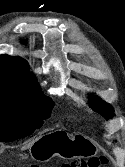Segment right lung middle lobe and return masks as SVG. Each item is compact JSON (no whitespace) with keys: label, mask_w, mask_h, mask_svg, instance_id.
Instances as JSON below:
<instances>
[{"label":"right lung middle lobe","mask_w":125,"mask_h":167,"mask_svg":"<svg viewBox=\"0 0 125 167\" xmlns=\"http://www.w3.org/2000/svg\"><path fill=\"white\" fill-rule=\"evenodd\" d=\"M54 102L39 94L16 98L0 94V141H13L32 134L50 117Z\"/></svg>","instance_id":"obj_1"}]
</instances>
